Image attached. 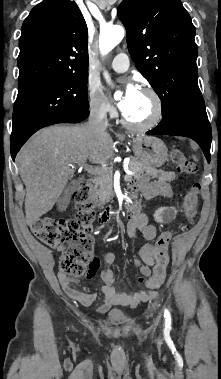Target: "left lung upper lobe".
I'll return each mask as SVG.
<instances>
[{"label": "left lung upper lobe", "instance_id": "obj_1", "mask_svg": "<svg viewBox=\"0 0 221 379\" xmlns=\"http://www.w3.org/2000/svg\"><path fill=\"white\" fill-rule=\"evenodd\" d=\"M117 14L132 60L162 101V117L176 110L206 116L195 27L181 1L123 0Z\"/></svg>", "mask_w": 221, "mask_h": 379}]
</instances>
